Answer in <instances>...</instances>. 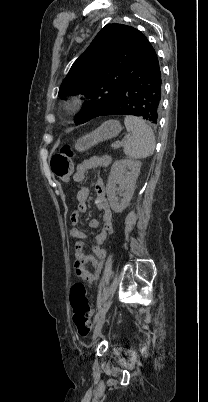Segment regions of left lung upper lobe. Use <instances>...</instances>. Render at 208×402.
<instances>
[{"mask_svg":"<svg viewBox=\"0 0 208 402\" xmlns=\"http://www.w3.org/2000/svg\"><path fill=\"white\" fill-rule=\"evenodd\" d=\"M134 28L107 24L64 78L58 96L83 94L88 99L85 112L76 119L85 123L99 115L116 98L121 86L136 68Z\"/></svg>","mask_w":208,"mask_h":402,"instance_id":"left-lung-upper-lobe-1","label":"left lung upper lobe"}]
</instances>
